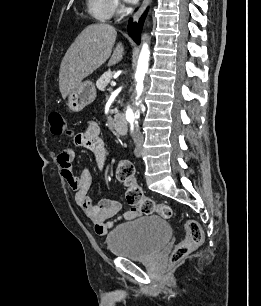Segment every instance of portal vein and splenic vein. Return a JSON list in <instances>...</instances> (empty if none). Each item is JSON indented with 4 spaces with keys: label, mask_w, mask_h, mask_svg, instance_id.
Instances as JSON below:
<instances>
[{
    "label": "portal vein and splenic vein",
    "mask_w": 261,
    "mask_h": 306,
    "mask_svg": "<svg viewBox=\"0 0 261 306\" xmlns=\"http://www.w3.org/2000/svg\"><path fill=\"white\" fill-rule=\"evenodd\" d=\"M116 85V82L115 81H112L111 82V86H115Z\"/></svg>",
    "instance_id": "portal-vein-and-splenic-vein-1"
}]
</instances>
